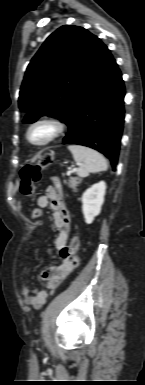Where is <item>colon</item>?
I'll return each instance as SVG.
<instances>
[{"mask_svg":"<svg viewBox=\"0 0 145 385\" xmlns=\"http://www.w3.org/2000/svg\"><path fill=\"white\" fill-rule=\"evenodd\" d=\"M53 162V157L50 154H46L35 163L27 165L20 173V191L26 196H30L34 193L36 184H38L42 178V172L44 167L50 165ZM32 216L35 219H39L42 216L40 209L36 208L32 212ZM79 241L77 238H72L68 245H65L60 249V256L63 260H68L74 267L77 266V259L75 253L78 249Z\"/></svg>","mask_w":145,"mask_h":385,"instance_id":"5ec220e1","label":"colon"}]
</instances>
